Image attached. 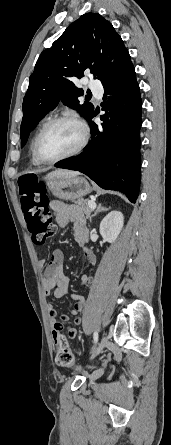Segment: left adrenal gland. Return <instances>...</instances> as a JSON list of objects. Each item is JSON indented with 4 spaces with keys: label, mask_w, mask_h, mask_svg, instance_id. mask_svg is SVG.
<instances>
[{
    "label": "left adrenal gland",
    "mask_w": 171,
    "mask_h": 445,
    "mask_svg": "<svg viewBox=\"0 0 171 445\" xmlns=\"http://www.w3.org/2000/svg\"><path fill=\"white\" fill-rule=\"evenodd\" d=\"M106 210H108V209L105 208V207H102V205L99 204V205L97 206V209H96V211L94 212V214L90 216V222H91V220H92V217L96 216L99 212L106 211Z\"/></svg>",
    "instance_id": "1"
}]
</instances>
